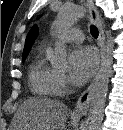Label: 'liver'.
Returning <instances> with one entry per match:
<instances>
[{
    "label": "liver",
    "instance_id": "6515ba94",
    "mask_svg": "<svg viewBox=\"0 0 123 130\" xmlns=\"http://www.w3.org/2000/svg\"><path fill=\"white\" fill-rule=\"evenodd\" d=\"M69 114L68 107L62 102L29 98L15 113L10 130H60Z\"/></svg>",
    "mask_w": 123,
    "mask_h": 130
}]
</instances>
